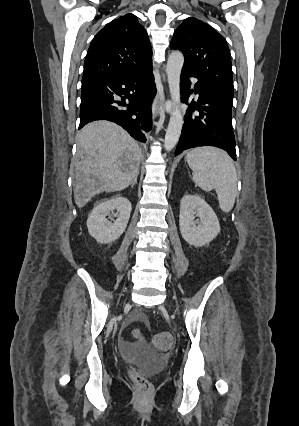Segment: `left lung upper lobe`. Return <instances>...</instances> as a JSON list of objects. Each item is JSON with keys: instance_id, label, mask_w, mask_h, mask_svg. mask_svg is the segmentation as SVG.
Segmentation results:
<instances>
[{"instance_id": "obj_1", "label": "left lung upper lobe", "mask_w": 299, "mask_h": 426, "mask_svg": "<svg viewBox=\"0 0 299 426\" xmlns=\"http://www.w3.org/2000/svg\"><path fill=\"white\" fill-rule=\"evenodd\" d=\"M170 47L184 54V69L233 100L231 55L223 36L208 24L190 17L174 32Z\"/></svg>"}]
</instances>
